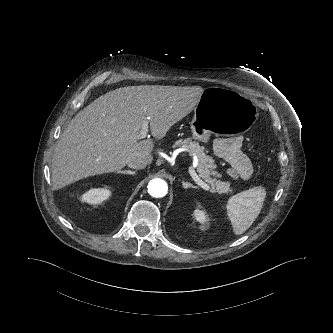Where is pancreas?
<instances>
[{
    "mask_svg": "<svg viewBox=\"0 0 333 333\" xmlns=\"http://www.w3.org/2000/svg\"><path fill=\"white\" fill-rule=\"evenodd\" d=\"M175 146L188 148L197 156V172L202 179L211 184L214 192L222 194L232 191L229 182H222L220 180L211 178V175L216 174L215 171H212L214 168L213 160L211 157L205 154L204 148L200 147L198 143L192 142L190 139H185L177 141Z\"/></svg>",
    "mask_w": 333,
    "mask_h": 333,
    "instance_id": "1",
    "label": "pancreas"
}]
</instances>
